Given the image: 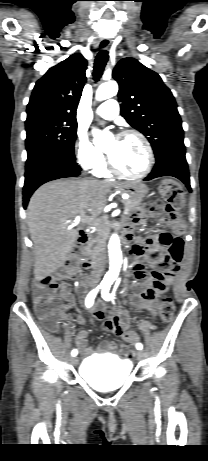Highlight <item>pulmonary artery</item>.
Masks as SVG:
<instances>
[{"label": "pulmonary artery", "mask_w": 208, "mask_h": 461, "mask_svg": "<svg viewBox=\"0 0 208 461\" xmlns=\"http://www.w3.org/2000/svg\"><path fill=\"white\" fill-rule=\"evenodd\" d=\"M95 113L103 119L112 120L119 113L118 102L114 99L107 100L96 108Z\"/></svg>", "instance_id": "pulmonary-artery-1"}]
</instances>
